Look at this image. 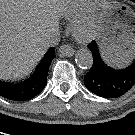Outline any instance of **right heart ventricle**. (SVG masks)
Wrapping results in <instances>:
<instances>
[{
    "label": "right heart ventricle",
    "mask_w": 135,
    "mask_h": 135,
    "mask_svg": "<svg viewBox=\"0 0 135 135\" xmlns=\"http://www.w3.org/2000/svg\"><path fill=\"white\" fill-rule=\"evenodd\" d=\"M83 1L84 0H71L65 8V16L69 19L75 17L83 5Z\"/></svg>",
    "instance_id": "1"
}]
</instances>
